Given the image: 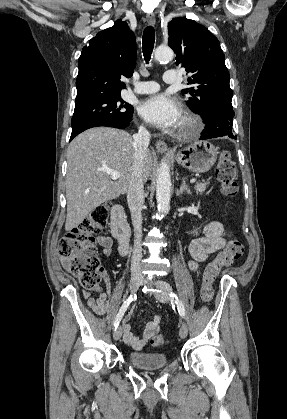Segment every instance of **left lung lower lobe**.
<instances>
[{
  "label": "left lung lower lobe",
  "instance_id": "1",
  "mask_svg": "<svg viewBox=\"0 0 287 419\" xmlns=\"http://www.w3.org/2000/svg\"><path fill=\"white\" fill-rule=\"evenodd\" d=\"M234 111L231 103H219L210 108L207 116L203 118L205 129L201 140L228 136L237 139L232 130Z\"/></svg>",
  "mask_w": 287,
  "mask_h": 419
}]
</instances>
